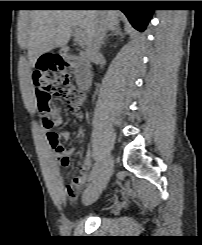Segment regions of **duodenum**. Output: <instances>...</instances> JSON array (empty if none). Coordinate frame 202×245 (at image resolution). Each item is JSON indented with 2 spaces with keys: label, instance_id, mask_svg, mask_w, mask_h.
Returning <instances> with one entry per match:
<instances>
[{
  "label": "duodenum",
  "instance_id": "duodenum-1",
  "mask_svg": "<svg viewBox=\"0 0 202 245\" xmlns=\"http://www.w3.org/2000/svg\"><path fill=\"white\" fill-rule=\"evenodd\" d=\"M62 53L69 58L76 71V84L81 91L91 88V66L81 53H73L69 47H63Z\"/></svg>",
  "mask_w": 202,
  "mask_h": 245
}]
</instances>
